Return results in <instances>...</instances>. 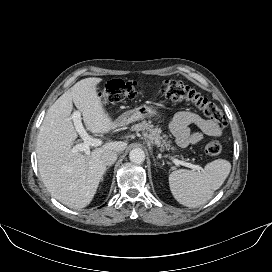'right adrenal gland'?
<instances>
[{
    "mask_svg": "<svg viewBox=\"0 0 272 272\" xmlns=\"http://www.w3.org/2000/svg\"><path fill=\"white\" fill-rule=\"evenodd\" d=\"M109 167H106V169L105 170H107ZM102 180H103V177H102Z\"/></svg>",
    "mask_w": 272,
    "mask_h": 272,
    "instance_id": "2a0ac1e0",
    "label": "right adrenal gland"
}]
</instances>
